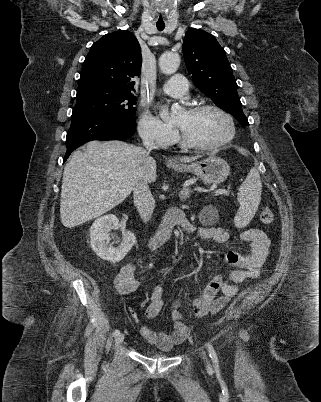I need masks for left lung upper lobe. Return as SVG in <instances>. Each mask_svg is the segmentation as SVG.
Here are the masks:
<instances>
[{
  "label": "left lung upper lobe",
  "mask_w": 321,
  "mask_h": 402,
  "mask_svg": "<svg viewBox=\"0 0 321 402\" xmlns=\"http://www.w3.org/2000/svg\"><path fill=\"white\" fill-rule=\"evenodd\" d=\"M183 55L195 86L241 124L249 125L232 68L216 38L200 29L188 30L184 37Z\"/></svg>",
  "instance_id": "5c2ea615"
}]
</instances>
